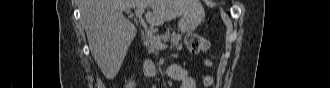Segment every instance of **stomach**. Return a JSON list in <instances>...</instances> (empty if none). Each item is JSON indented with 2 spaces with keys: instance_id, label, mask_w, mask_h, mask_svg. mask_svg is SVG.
Segmentation results:
<instances>
[{
  "instance_id": "obj_1",
  "label": "stomach",
  "mask_w": 330,
  "mask_h": 88,
  "mask_svg": "<svg viewBox=\"0 0 330 88\" xmlns=\"http://www.w3.org/2000/svg\"><path fill=\"white\" fill-rule=\"evenodd\" d=\"M205 17L204 9L201 3L195 0V5L190 11L184 13L178 22L179 30L182 33H190L203 21Z\"/></svg>"
}]
</instances>
